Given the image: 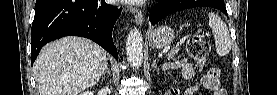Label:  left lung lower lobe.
I'll return each mask as SVG.
<instances>
[{"label":"left lung lower lobe","mask_w":277,"mask_h":95,"mask_svg":"<svg viewBox=\"0 0 277 95\" xmlns=\"http://www.w3.org/2000/svg\"><path fill=\"white\" fill-rule=\"evenodd\" d=\"M202 0H158L149 16V24L155 25L165 16L179 10L188 9L192 4L201 3ZM227 14L225 5L214 7Z\"/></svg>","instance_id":"0a47b994"}]
</instances>
